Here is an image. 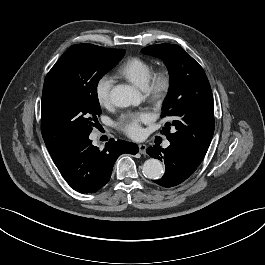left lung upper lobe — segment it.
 Listing matches in <instances>:
<instances>
[{
    "mask_svg": "<svg viewBox=\"0 0 265 265\" xmlns=\"http://www.w3.org/2000/svg\"><path fill=\"white\" fill-rule=\"evenodd\" d=\"M142 52L163 59L169 70L170 88L161 117L172 123L165 124L163 133L171 145L200 164L215 128L213 96L204 70L178 45H151Z\"/></svg>",
    "mask_w": 265,
    "mask_h": 265,
    "instance_id": "obj_1",
    "label": "left lung upper lobe"
}]
</instances>
